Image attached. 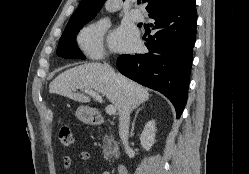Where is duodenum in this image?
I'll return each instance as SVG.
<instances>
[{
    "label": "duodenum",
    "instance_id": "duodenum-1",
    "mask_svg": "<svg viewBox=\"0 0 249 174\" xmlns=\"http://www.w3.org/2000/svg\"><path fill=\"white\" fill-rule=\"evenodd\" d=\"M91 122L94 125H105L104 119L98 114L93 113L91 116ZM117 174H128V168L124 164H119L116 166Z\"/></svg>",
    "mask_w": 249,
    "mask_h": 174
}]
</instances>
